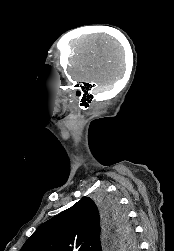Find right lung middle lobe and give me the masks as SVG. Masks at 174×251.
Here are the masks:
<instances>
[{
  "label": "right lung middle lobe",
  "mask_w": 174,
  "mask_h": 251,
  "mask_svg": "<svg viewBox=\"0 0 174 251\" xmlns=\"http://www.w3.org/2000/svg\"><path fill=\"white\" fill-rule=\"evenodd\" d=\"M94 202L100 208L105 221L113 227L114 236L121 239V248L128 251L135 250L136 241L133 229L126 211L118 200L109 194L101 193L95 196Z\"/></svg>",
  "instance_id": "dd1d6c3e"
}]
</instances>
